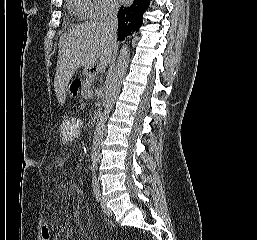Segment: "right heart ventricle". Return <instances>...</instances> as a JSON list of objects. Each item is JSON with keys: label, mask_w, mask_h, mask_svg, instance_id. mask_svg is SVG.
Here are the masks:
<instances>
[{"label": "right heart ventricle", "mask_w": 257, "mask_h": 240, "mask_svg": "<svg viewBox=\"0 0 257 240\" xmlns=\"http://www.w3.org/2000/svg\"><path fill=\"white\" fill-rule=\"evenodd\" d=\"M68 6L79 18H88L91 0H69Z\"/></svg>", "instance_id": "right-heart-ventricle-1"}]
</instances>
